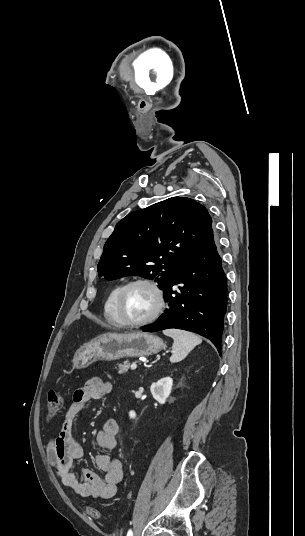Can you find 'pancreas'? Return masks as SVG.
<instances>
[{
  "label": "pancreas",
  "mask_w": 305,
  "mask_h": 536,
  "mask_svg": "<svg viewBox=\"0 0 305 536\" xmlns=\"http://www.w3.org/2000/svg\"><path fill=\"white\" fill-rule=\"evenodd\" d=\"M119 372L118 374H126L130 368V364L128 362H123V364H118Z\"/></svg>",
  "instance_id": "pancreas-1"
}]
</instances>
